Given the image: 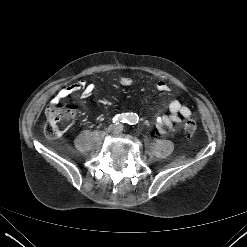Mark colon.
Instances as JSON below:
<instances>
[{
  "label": "colon",
  "instance_id": "1",
  "mask_svg": "<svg viewBox=\"0 0 247 247\" xmlns=\"http://www.w3.org/2000/svg\"><path fill=\"white\" fill-rule=\"evenodd\" d=\"M76 107L74 105L59 106L56 103H50L45 111L46 122L44 133L48 138L54 139L60 137L70 126L76 117ZM197 130V124L193 119L187 120L184 124V131L192 136Z\"/></svg>",
  "mask_w": 247,
  "mask_h": 247
}]
</instances>
